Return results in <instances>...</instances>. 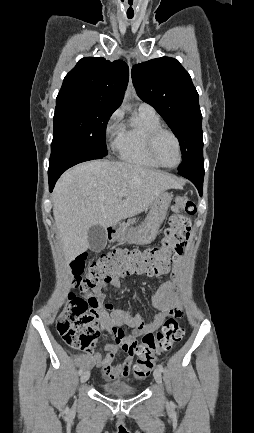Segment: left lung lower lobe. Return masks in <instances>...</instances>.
<instances>
[{"instance_id": "0a47b994", "label": "left lung lower lobe", "mask_w": 254, "mask_h": 433, "mask_svg": "<svg viewBox=\"0 0 254 433\" xmlns=\"http://www.w3.org/2000/svg\"><path fill=\"white\" fill-rule=\"evenodd\" d=\"M178 174L189 179L197 187L200 196H202L204 173H199L196 171H182L178 172Z\"/></svg>"}]
</instances>
